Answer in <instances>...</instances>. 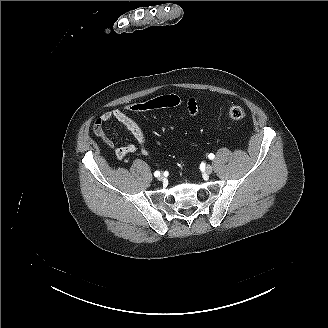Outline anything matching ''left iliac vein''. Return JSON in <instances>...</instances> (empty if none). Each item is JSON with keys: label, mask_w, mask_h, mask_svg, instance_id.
<instances>
[{"label": "left iliac vein", "mask_w": 328, "mask_h": 328, "mask_svg": "<svg viewBox=\"0 0 328 328\" xmlns=\"http://www.w3.org/2000/svg\"><path fill=\"white\" fill-rule=\"evenodd\" d=\"M205 171L207 174H211L213 172V167L211 165H207Z\"/></svg>", "instance_id": "left-iliac-vein-1"}]
</instances>
